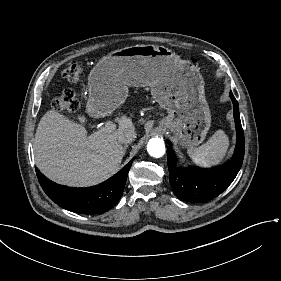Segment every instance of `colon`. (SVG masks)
I'll list each match as a JSON object with an SVG mask.
<instances>
[{
    "instance_id": "1",
    "label": "colon",
    "mask_w": 281,
    "mask_h": 281,
    "mask_svg": "<svg viewBox=\"0 0 281 281\" xmlns=\"http://www.w3.org/2000/svg\"><path fill=\"white\" fill-rule=\"evenodd\" d=\"M81 64L75 62L68 65L63 71L62 77L67 82H77L82 76ZM78 99L74 92L64 90L54 101V109L57 112L74 113L78 109Z\"/></svg>"
}]
</instances>
